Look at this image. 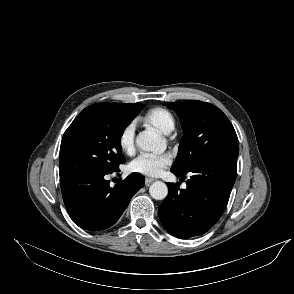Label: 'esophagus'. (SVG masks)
<instances>
[{"instance_id": "obj_1", "label": "esophagus", "mask_w": 294, "mask_h": 294, "mask_svg": "<svg viewBox=\"0 0 294 294\" xmlns=\"http://www.w3.org/2000/svg\"><path fill=\"white\" fill-rule=\"evenodd\" d=\"M155 181V179H153V178H149V177H146L145 178V184L146 185H149V184H151L152 182H154Z\"/></svg>"}]
</instances>
